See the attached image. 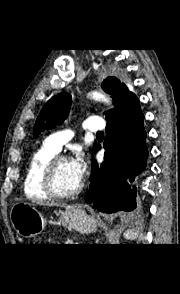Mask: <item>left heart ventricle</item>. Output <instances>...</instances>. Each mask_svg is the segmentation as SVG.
Segmentation results:
<instances>
[{
	"mask_svg": "<svg viewBox=\"0 0 180 294\" xmlns=\"http://www.w3.org/2000/svg\"><path fill=\"white\" fill-rule=\"evenodd\" d=\"M80 180L75 176L70 161L61 162L55 173L54 184L56 189L62 193H68L75 190Z\"/></svg>",
	"mask_w": 180,
	"mask_h": 294,
	"instance_id": "1",
	"label": "left heart ventricle"
}]
</instances>
